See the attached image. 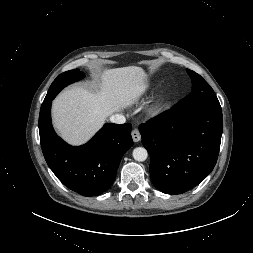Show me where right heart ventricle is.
<instances>
[{
	"instance_id": "1",
	"label": "right heart ventricle",
	"mask_w": 253,
	"mask_h": 253,
	"mask_svg": "<svg viewBox=\"0 0 253 253\" xmlns=\"http://www.w3.org/2000/svg\"><path fill=\"white\" fill-rule=\"evenodd\" d=\"M149 88L150 87L148 85H143V86L136 89L135 95L136 96L143 95L144 93H146L149 90Z\"/></svg>"
}]
</instances>
